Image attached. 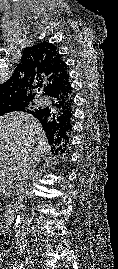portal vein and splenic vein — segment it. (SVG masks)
Instances as JSON below:
<instances>
[{
	"mask_svg": "<svg viewBox=\"0 0 118 269\" xmlns=\"http://www.w3.org/2000/svg\"><path fill=\"white\" fill-rule=\"evenodd\" d=\"M9 171H12V169H9V170H3V171H1V172H3V173H8Z\"/></svg>",
	"mask_w": 118,
	"mask_h": 269,
	"instance_id": "obj_1",
	"label": "portal vein and splenic vein"
}]
</instances>
